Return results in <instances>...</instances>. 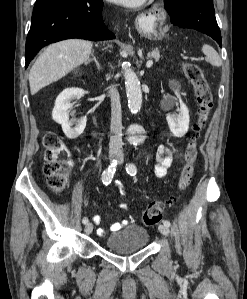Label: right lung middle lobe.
<instances>
[{"label":"right lung middle lobe","mask_w":247,"mask_h":299,"mask_svg":"<svg viewBox=\"0 0 247 299\" xmlns=\"http://www.w3.org/2000/svg\"><path fill=\"white\" fill-rule=\"evenodd\" d=\"M65 0H36V3L34 5L33 14L46 9L56 3L62 2Z\"/></svg>","instance_id":"dd1d6c3e"}]
</instances>
